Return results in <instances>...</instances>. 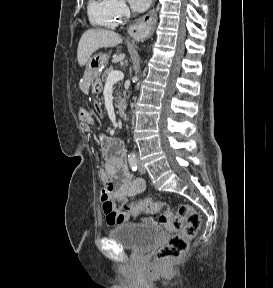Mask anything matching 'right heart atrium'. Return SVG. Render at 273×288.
<instances>
[{"label": "right heart atrium", "instance_id": "obj_1", "mask_svg": "<svg viewBox=\"0 0 273 288\" xmlns=\"http://www.w3.org/2000/svg\"><path fill=\"white\" fill-rule=\"evenodd\" d=\"M114 9L120 19H125L129 16L130 11L124 0H112Z\"/></svg>", "mask_w": 273, "mask_h": 288}]
</instances>
